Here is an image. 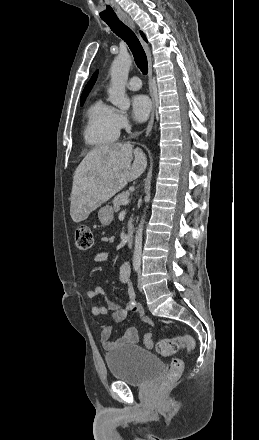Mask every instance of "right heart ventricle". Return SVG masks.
Segmentation results:
<instances>
[{
  "instance_id": "obj_1",
  "label": "right heart ventricle",
  "mask_w": 259,
  "mask_h": 440,
  "mask_svg": "<svg viewBox=\"0 0 259 440\" xmlns=\"http://www.w3.org/2000/svg\"><path fill=\"white\" fill-rule=\"evenodd\" d=\"M116 110L96 99L87 109L83 136L86 144L101 148L117 141L119 130L115 124Z\"/></svg>"
}]
</instances>
